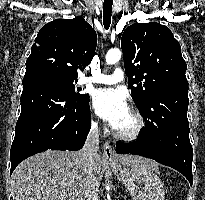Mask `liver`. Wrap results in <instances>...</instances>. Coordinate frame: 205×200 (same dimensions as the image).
Segmentation results:
<instances>
[{
    "mask_svg": "<svg viewBox=\"0 0 205 200\" xmlns=\"http://www.w3.org/2000/svg\"><path fill=\"white\" fill-rule=\"evenodd\" d=\"M127 166L157 168L154 161L137 155H117ZM104 160L95 157L92 178L100 184ZM12 195L15 200H84L86 174L80 151H46L22 161L12 174Z\"/></svg>",
    "mask_w": 205,
    "mask_h": 200,
    "instance_id": "6515ba94",
    "label": "liver"
}]
</instances>
